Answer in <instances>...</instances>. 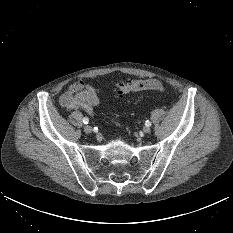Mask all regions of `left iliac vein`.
<instances>
[{
  "label": "left iliac vein",
  "instance_id": "obj_1",
  "mask_svg": "<svg viewBox=\"0 0 233 233\" xmlns=\"http://www.w3.org/2000/svg\"><path fill=\"white\" fill-rule=\"evenodd\" d=\"M150 131H151V129H150V127H148V126H145V127L143 128V132L146 133V134L150 133Z\"/></svg>",
  "mask_w": 233,
  "mask_h": 233
}]
</instances>
